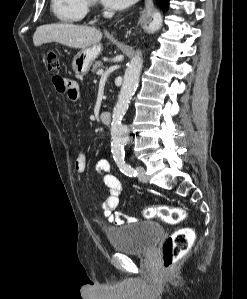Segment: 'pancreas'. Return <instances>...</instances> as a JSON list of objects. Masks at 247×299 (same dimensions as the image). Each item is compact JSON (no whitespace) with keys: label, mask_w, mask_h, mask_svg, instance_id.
Instances as JSON below:
<instances>
[{"label":"pancreas","mask_w":247,"mask_h":299,"mask_svg":"<svg viewBox=\"0 0 247 299\" xmlns=\"http://www.w3.org/2000/svg\"><path fill=\"white\" fill-rule=\"evenodd\" d=\"M102 68V62L101 61H97L95 62V64L92 66L91 72L92 73H97V71L101 70Z\"/></svg>","instance_id":"pancreas-1"}]
</instances>
